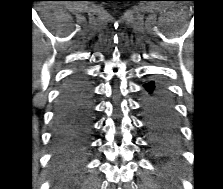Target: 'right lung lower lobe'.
Returning <instances> with one entry per match:
<instances>
[{
	"label": "right lung lower lobe",
	"mask_w": 223,
	"mask_h": 189,
	"mask_svg": "<svg viewBox=\"0 0 223 189\" xmlns=\"http://www.w3.org/2000/svg\"><path fill=\"white\" fill-rule=\"evenodd\" d=\"M92 122V84L87 75L74 74L64 84L55 108L52 140L57 152H80L89 138Z\"/></svg>",
	"instance_id": "98d812e1"
}]
</instances>
